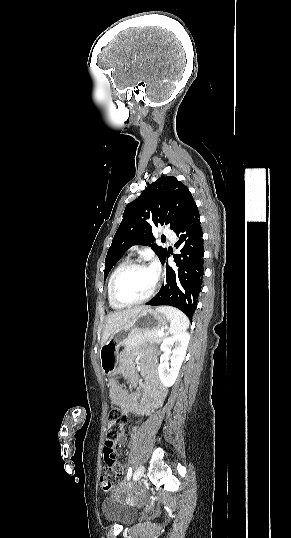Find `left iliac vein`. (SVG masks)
Returning <instances> with one entry per match:
<instances>
[{
	"mask_svg": "<svg viewBox=\"0 0 291 538\" xmlns=\"http://www.w3.org/2000/svg\"><path fill=\"white\" fill-rule=\"evenodd\" d=\"M144 475V466L143 465H139L137 468H136V471L134 473V479L135 481H138L141 479V477Z\"/></svg>",
	"mask_w": 291,
	"mask_h": 538,
	"instance_id": "4c4485c4",
	"label": "left iliac vein"
}]
</instances>
